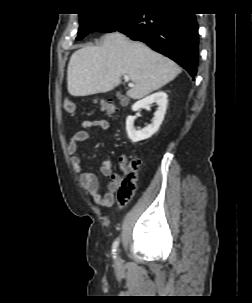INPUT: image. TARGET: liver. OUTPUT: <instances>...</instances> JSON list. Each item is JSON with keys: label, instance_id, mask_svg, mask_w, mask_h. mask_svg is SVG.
<instances>
[{"label": "liver", "instance_id": "obj_1", "mask_svg": "<svg viewBox=\"0 0 252 303\" xmlns=\"http://www.w3.org/2000/svg\"><path fill=\"white\" fill-rule=\"evenodd\" d=\"M181 68L172 60L140 42L114 32L103 36L99 46H85L70 57L67 88L72 96H88L111 91L128 76L134 87L127 91L141 99L172 81Z\"/></svg>", "mask_w": 252, "mask_h": 303}]
</instances>
